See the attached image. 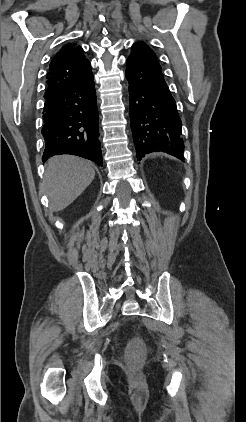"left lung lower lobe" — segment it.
<instances>
[{
    "instance_id": "0a47b994",
    "label": "left lung lower lobe",
    "mask_w": 246,
    "mask_h": 422,
    "mask_svg": "<svg viewBox=\"0 0 246 422\" xmlns=\"http://www.w3.org/2000/svg\"><path fill=\"white\" fill-rule=\"evenodd\" d=\"M125 72L137 159L165 152L184 160L181 119L161 68L138 45H132Z\"/></svg>"
}]
</instances>
